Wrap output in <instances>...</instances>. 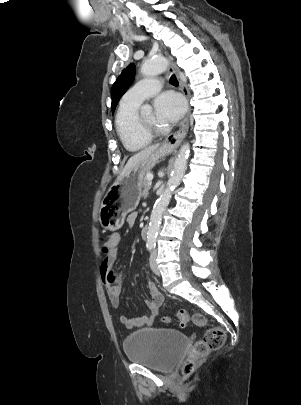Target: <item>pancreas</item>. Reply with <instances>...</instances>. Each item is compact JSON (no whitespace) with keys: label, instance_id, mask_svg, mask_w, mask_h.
Masks as SVG:
<instances>
[{"label":"pancreas","instance_id":"obj_1","mask_svg":"<svg viewBox=\"0 0 301 405\" xmlns=\"http://www.w3.org/2000/svg\"><path fill=\"white\" fill-rule=\"evenodd\" d=\"M150 187H151L150 181L147 179V177H145L143 181V190H142V196L144 198L148 197Z\"/></svg>","mask_w":301,"mask_h":405}]
</instances>
